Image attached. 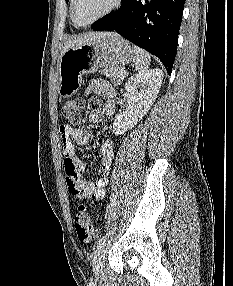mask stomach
<instances>
[{"mask_svg": "<svg viewBox=\"0 0 233 286\" xmlns=\"http://www.w3.org/2000/svg\"><path fill=\"white\" fill-rule=\"evenodd\" d=\"M134 59L133 47L117 34L69 48L58 63V93L69 98L79 90L84 74L105 67H122Z\"/></svg>", "mask_w": 233, "mask_h": 286, "instance_id": "stomach-1", "label": "stomach"}]
</instances>
